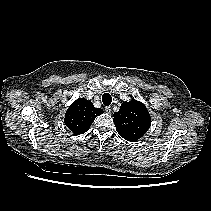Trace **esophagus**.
I'll list each match as a JSON object with an SVG mask.
<instances>
[{"mask_svg":"<svg viewBox=\"0 0 211 211\" xmlns=\"http://www.w3.org/2000/svg\"><path fill=\"white\" fill-rule=\"evenodd\" d=\"M105 112L108 113V114H111V112H112L111 107L110 106H106L105 107Z\"/></svg>","mask_w":211,"mask_h":211,"instance_id":"obj_1","label":"esophagus"}]
</instances>
